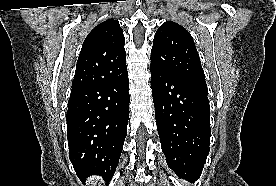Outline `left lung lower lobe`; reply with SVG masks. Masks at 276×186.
Masks as SVG:
<instances>
[{"instance_id":"0a47b994","label":"left lung lower lobe","mask_w":276,"mask_h":186,"mask_svg":"<svg viewBox=\"0 0 276 186\" xmlns=\"http://www.w3.org/2000/svg\"><path fill=\"white\" fill-rule=\"evenodd\" d=\"M157 130L167 165L180 177L197 180L210 142L205 83L150 65Z\"/></svg>"}]
</instances>
